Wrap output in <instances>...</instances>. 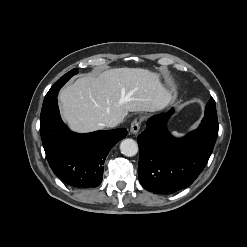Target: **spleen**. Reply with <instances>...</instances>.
I'll return each instance as SVG.
<instances>
[{
	"label": "spleen",
	"instance_id": "1",
	"mask_svg": "<svg viewBox=\"0 0 247 247\" xmlns=\"http://www.w3.org/2000/svg\"><path fill=\"white\" fill-rule=\"evenodd\" d=\"M172 134H173V136H175V137H182V136H184V134L178 133V132H176V131H174Z\"/></svg>",
	"mask_w": 247,
	"mask_h": 247
}]
</instances>
